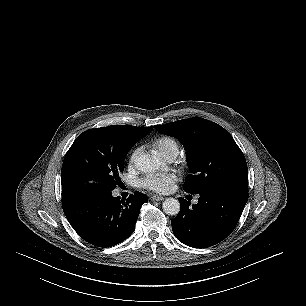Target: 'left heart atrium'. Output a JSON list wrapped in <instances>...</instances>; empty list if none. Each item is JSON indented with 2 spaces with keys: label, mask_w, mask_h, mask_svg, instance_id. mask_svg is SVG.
<instances>
[{
  "label": "left heart atrium",
  "mask_w": 306,
  "mask_h": 306,
  "mask_svg": "<svg viewBox=\"0 0 306 306\" xmlns=\"http://www.w3.org/2000/svg\"><path fill=\"white\" fill-rule=\"evenodd\" d=\"M177 180L178 178L174 173L151 174L143 178L140 184L143 188L152 192L166 193L171 190Z\"/></svg>",
  "instance_id": "left-heart-atrium-1"
}]
</instances>
